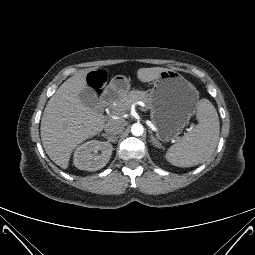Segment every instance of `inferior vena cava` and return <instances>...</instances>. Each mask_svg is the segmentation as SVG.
<instances>
[{"label":"inferior vena cava","mask_w":255,"mask_h":255,"mask_svg":"<svg viewBox=\"0 0 255 255\" xmlns=\"http://www.w3.org/2000/svg\"><path fill=\"white\" fill-rule=\"evenodd\" d=\"M124 128H125V121L119 119V120L108 121L104 127V130L109 137L114 138V136L122 133Z\"/></svg>","instance_id":"inferior-vena-cava-1"}]
</instances>
